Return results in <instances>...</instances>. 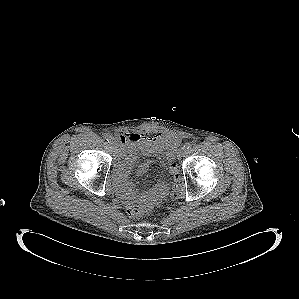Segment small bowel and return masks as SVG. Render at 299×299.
Wrapping results in <instances>:
<instances>
[{
  "instance_id": "c3829d8e",
  "label": "small bowel",
  "mask_w": 299,
  "mask_h": 299,
  "mask_svg": "<svg viewBox=\"0 0 299 299\" xmlns=\"http://www.w3.org/2000/svg\"><path fill=\"white\" fill-rule=\"evenodd\" d=\"M119 139L123 145L118 156L117 179L122 195L126 199L133 197L132 185L127 181V177L136 161L137 154L140 152L145 157L159 155V163L164 166H170L174 161V153L180 140L175 135L155 134L150 136L143 133H126L119 134ZM152 161L147 159L137 167V174L146 173ZM168 191V184L164 181L158 182L150 190L145 199L150 201H159Z\"/></svg>"
}]
</instances>
